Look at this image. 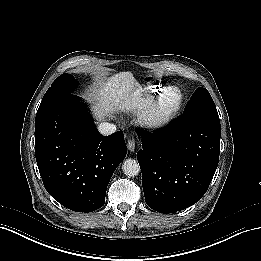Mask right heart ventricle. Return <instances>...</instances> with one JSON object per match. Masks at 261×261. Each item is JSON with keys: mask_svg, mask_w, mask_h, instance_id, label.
<instances>
[{"mask_svg": "<svg viewBox=\"0 0 261 261\" xmlns=\"http://www.w3.org/2000/svg\"><path fill=\"white\" fill-rule=\"evenodd\" d=\"M154 95H156L155 94V91H152V92H149V93H147V94H145V101H149L150 99H152L153 97H154ZM142 107H138V108H135V112H138L140 109H141Z\"/></svg>", "mask_w": 261, "mask_h": 261, "instance_id": "e07e8e85", "label": "right heart ventricle"}]
</instances>
